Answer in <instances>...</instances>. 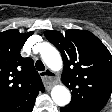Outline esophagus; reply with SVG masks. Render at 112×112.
Listing matches in <instances>:
<instances>
[{"label": "esophagus", "instance_id": "obj_1", "mask_svg": "<svg viewBox=\"0 0 112 112\" xmlns=\"http://www.w3.org/2000/svg\"><path fill=\"white\" fill-rule=\"evenodd\" d=\"M41 79L43 83L49 88H51V86L55 84L57 81V77L55 73L51 71L50 69H47L41 73Z\"/></svg>", "mask_w": 112, "mask_h": 112}]
</instances>
